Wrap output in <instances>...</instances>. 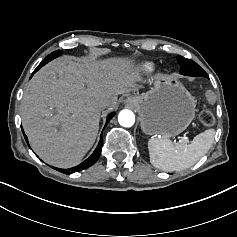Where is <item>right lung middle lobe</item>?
<instances>
[{
	"label": "right lung middle lobe",
	"instance_id": "dd1d6c3e",
	"mask_svg": "<svg viewBox=\"0 0 237 237\" xmlns=\"http://www.w3.org/2000/svg\"><path fill=\"white\" fill-rule=\"evenodd\" d=\"M62 52L57 50L49 54L47 57L44 58V60L38 65V67L35 69L34 72L38 71L41 67H43L45 64H47L49 61L53 60L54 58L58 57Z\"/></svg>",
	"mask_w": 237,
	"mask_h": 237
}]
</instances>
